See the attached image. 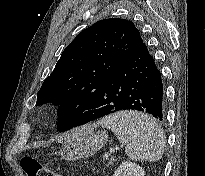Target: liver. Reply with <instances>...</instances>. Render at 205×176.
<instances>
[{"label":"liver","mask_w":205,"mask_h":176,"mask_svg":"<svg viewBox=\"0 0 205 176\" xmlns=\"http://www.w3.org/2000/svg\"><path fill=\"white\" fill-rule=\"evenodd\" d=\"M86 128L85 126L84 127H81V128H77V129H74L73 131H71L69 134H66V136L64 138H61L59 141L60 142H68L70 139H73L75 138L76 136H78L82 131H84Z\"/></svg>","instance_id":"6515ba94"}]
</instances>
